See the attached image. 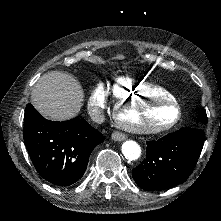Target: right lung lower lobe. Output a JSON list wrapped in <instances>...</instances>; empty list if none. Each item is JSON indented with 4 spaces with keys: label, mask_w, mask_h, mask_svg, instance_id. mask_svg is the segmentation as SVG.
Here are the masks:
<instances>
[{
    "label": "right lung lower lobe",
    "mask_w": 221,
    "mask_h": 221,
    "mask_svg": "<svg viewBox=\"0 0 221 221\" xmlns=\"http://www.w3.org/2000/svg\"><path fill=\"white\" fill-rule=\"evenodd\" d=\"M23 136L37 172L58 186L77 182L85 173L91 152L104 140L84 120L50 121L31 104L26 105Z\"/></svg>",
    "instance_id": "obj_1"
}]
</instances>
